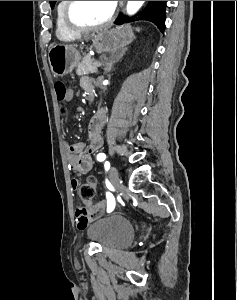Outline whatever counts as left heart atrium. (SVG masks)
Wrapping results in <instances>:
<instances>
[{
	"instance_id": "obj_1",
	"label": "left heart atrium",
	"mask_w": 237,
	"mask_h": 300,
	"mask_svg": "<svg viewBox=\"0 0 237 300\" xmlns=\"http://www.w3.org/2000/svg\"><path fill=\"white\" fill-rule=\"evenodd\" d=\"M113 6L115 7L117 1H111Z\"/></svg>"
}]
</instances>
